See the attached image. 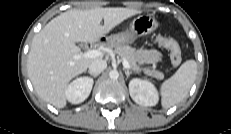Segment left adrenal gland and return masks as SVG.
<instances>
[{
	"mask_svg": "<svg viewBox=\"0 0 231 134\" xmlns=\"http://www.w3.org/2000/svg\"><path fill=\"white\" fill-rule=\"evenodd\" d=\"M124 72H125L127 78L129 77L130 74H132V71H129L127 69H124Z\"/></svg>",
	"mask_w": 231,
	"mask_h": 134,
	"instance_id": "left-adrenal-gland-1",
	"label": "left adrenal gland"
}]
</instances>
